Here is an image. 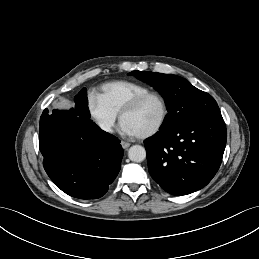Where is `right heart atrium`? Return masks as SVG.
<instances>
[{
  "label": "right heart atrium",
  "instance_id": "d8ad5b80",
  "mask_svg": "<svg viewBox=\"0 0 259 259\" xmlns=\"http://www.w3.org/2000/svg\"><path fill=\"white\" fill-rule=\"evenodd\" d=\"M87 109L90 117L102 132L112 133L118 116L100 95H88Z\"/></svg>",
  "mask_w": 259,
  "mask_h": 259
}]
</instances>
